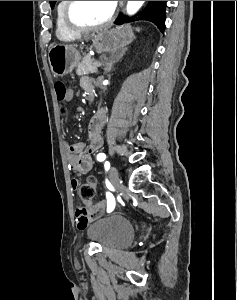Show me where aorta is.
<instances>
[{
	"label": "aorta",
	"mask_w": 237,
	"mask_h": 300,
	"mask_svg": "<svg viewBox=\"0 0 237 300\" xmlns=\"http://www.w3.org/2000/svg\"><path fill=\"white\" fill-rule=\"evenodd\" d=\"M145 1H128L126 11L127 15H135L139 9H141Z\"/></svg>",
	"instance_id": "762f6f07"
}]
</instances>
